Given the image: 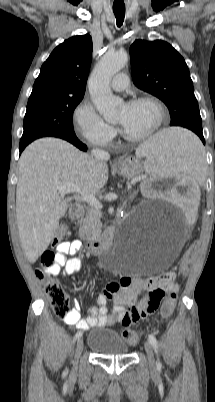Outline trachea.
<instances>
[{"label":"trachea","mask_w":215,"mask_h":402,"mask_svg":"<svg viewBox=\"0 0 215 402\" xmlns=\"http://www.w3.org/2000/svg\"><path fill=\"white\" fill-rule=\"evenodd\" d=\"M113 12L117 20V26L120 27L124 21L125 9H113Z\"/></svg>","instance_id":"1"}]
</instances>
